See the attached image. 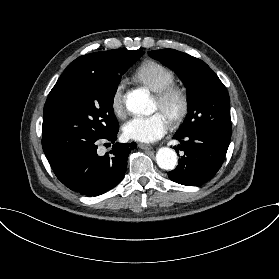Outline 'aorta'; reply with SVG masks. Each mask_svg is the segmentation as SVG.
Instances as JSON below:
<instances>
[{"mask_svg": "<svg viewBox=\"0 0 279 279\" xmlns=\"http://www.w3.org/2000/svg\"><path fill=\"white\" fill-rule=\"evenodd\" d=\"M126 107L134 114L150 115L154 111L148 93L141 89L134 90L127 95ZM177 161V154L171 148L162 147L156 153V162L161 169L173 170Z\"/></svg>", "mask_w": 279, "mask_h": 279, "instance_id": "aorta-1", "label": "aorta"}]
</instances>
